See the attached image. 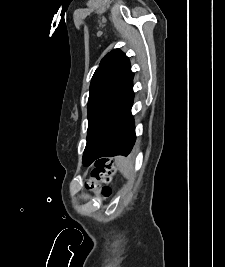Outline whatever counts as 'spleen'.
<instances>
[{
	"mask_svg": "<svg viewBox=\"0 0 225 267\" xmlns=\"http://www.w3.org/2000/svg\"><path fill=\"white\" fill-rule=\"evenodd\" d=\"M116 166L118 167L119 171L129 179H134L133 177V163L130 159L124 157H117L115 159Z\"/></svg>",
	"mask_w": 225,
	"mask_h": 267,
	"instance_id": "3e777b00",
	"label": "spleen"
}]
</instances>
